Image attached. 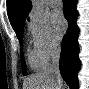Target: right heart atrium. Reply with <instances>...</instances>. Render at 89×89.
I'll use <instances>...</instances> for the list:
<instances>
[{"label": "right heart atrium", "mask_w": 89, "mask_h": 89, "mask_svg": "<svg viewBox=\"0 0 89 89\" xmlns=\"http://www.w3.org/2000/svg\"><path fill=\"white\" fill-rule=\"evenodd\" d=\"M34 50L46 63L57 53L60 41L46 16L32 14L28 23Z\"/></svg>", "instance_id": "obj_1"}]
</instances>
